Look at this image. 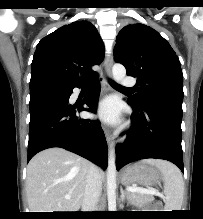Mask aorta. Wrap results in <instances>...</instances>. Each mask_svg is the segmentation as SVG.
<instances>
[{
    "label": "aorta",
    "instance_id": "aorta-1",
    "mask_svg": "<svg viewBox=\"0 0 203 219\" xmlns=\"http://www.w3.org/2000/svg\"><path fill=\"white\" fill-rule=\"evenodd\" d=\"M113 78L116 82L122 81L126 76V69L122 64H115L112 68ZM116 191V158L113 146L110 147L107 167V194L109 200H115Z\"/></svg>",
    "mask_w": 203,
    "mask_h": 219
}]
</instances>
